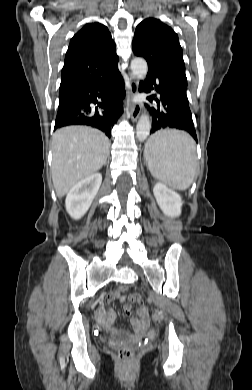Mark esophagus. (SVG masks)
<instances>
[{
	"mask_svg": "<svg viewBox=\"0 0 252 390\" xmlns=\"http://www.w3.org/2000/svg\"><path fill=\"white\" fill-rule=\"evenodd\" d=\"M138 84L137 78L133 74H129V95L131 99L138 93ZM142 106V103H131L129 116L133 122L138 119Z\"/></svg>",
	"mask_w": 252,
	"mask_h": 390,
	"instance_id": "obj_1",
	"label": "esophagus"
}]
</instances>
